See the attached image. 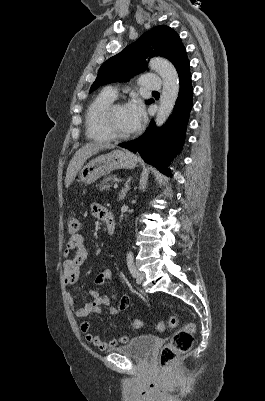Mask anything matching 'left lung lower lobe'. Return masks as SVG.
Wrapping results in <instances>:
<instances>
[{
    "label": "left lung lower lobe",
    "instance_id": "left-lung-lower-lobe-1",
    "mask_svg": "<svg viewBox=\"0 0 265 401\" xmlns=\"http://www.w3.org/2000/svg\"><path fill=\"white\" fill-rule=\"evenodd\" d=\"M176 70L179 76L180 89L173 113L167 123L158 129L151 121L149 128L141 137L119 144V146L133 152L138 151L145 162L152 164L168 175L167 164L173 155L180 150L184 142L193 95L188 59H184Z\"/></svg>",
    "mask_w": 265,
    "mask_h": 401
}]
</instances>
